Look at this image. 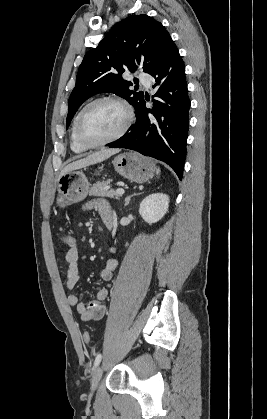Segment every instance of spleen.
<instances>
[{
	"mask_svg": "<svg viewBox=\"0 0 267 419\" xmlns=\"http://www.w3.org/2000/svg\"><path fill=\"white\" fill-rule=\"evenodd\" d=\"M160 173V169L159 168H157L156 169V174L158 175Z\"/></svg>",
	"mask_w": 267,
	"mask_h": 419,
	"instance_id": "obj_1",
	"label": "spleen"
}]
</instances>
